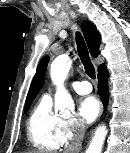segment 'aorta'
<instances>
[{
  "instance_id": "aorta-1",
  "label": "aorta",
  "mask_w": 130,
  "mask_h": 153,
  "mask_svg": "<svg viewBox=\"0 0 130 153\" xmlns=\"http://www.w3.org/2000/svg\"><path fill=\"white\" fill-rule=\"evenodd\" d=\"M71 64L72 62L68 56L60 55L54 59L50 67L51 79L56 85L55 111L67 116L74 110V101L64 87V81L67 78ZM106 135L107 127L104 124L99 125L95 130L86 153H101Z\"/></svg>"
}]
</instances>
